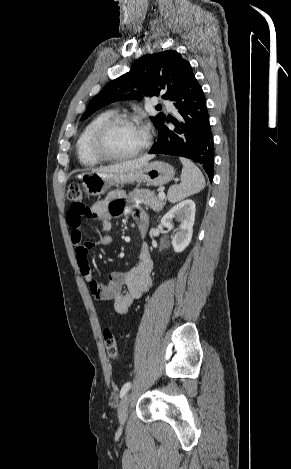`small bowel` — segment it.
I'll use <instances>...</instances> for the list:
<instances>
[{"instance_id": "1", "label": "small bowel", "mask_w": 291, "mask_h": 469, "mask_svg": "<svg viewBox=\"0 0 291 469\" xmlns=\"http://www.w3.org/2000/svg\"><path fill=\"white\" fill-rule=\"evenodd\" d=\"M132 216L142 234H145L148 214L138 207L130 206L122 191H112L101 201L89 208V213L78 212L72 207L67 213V224L71 231V241L76 247V258L79 271L87 282L91 294L100 301H113L114 310L124 314L132 303L149 291L153 285L151 276L153 261L148 245L143 243L139 252L137 264L127 271H114L109 274L107 283L98 282L92 274L88 262L89 250L110 245L113 237L110 234L111 218ZM84 218H92L101 224V232L94 240H84L82 223Z\"/></svg>"}]
</instances>
